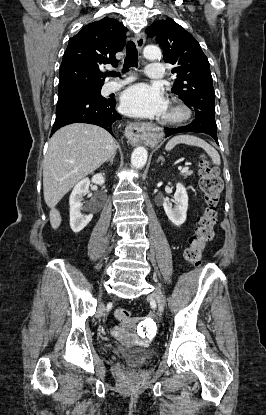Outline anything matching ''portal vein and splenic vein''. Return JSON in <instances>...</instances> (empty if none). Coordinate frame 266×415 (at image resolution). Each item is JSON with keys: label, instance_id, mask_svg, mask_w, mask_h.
Wrapping results in <instances>:
<instances>
[{"label": "portal vein and splenic vein", "instance_id": "portal-vein-and-splenic-vein-1", "mask_svg": "<svg viewBox=\"0 0 266 415\" xmlns=\"http://www.w3.org/2000/svg\"><path fill=\"white\" fill-rule=\"evenodd\" d=\"M188 169H189V167H183L182 169H181V172L183 173V172H186V171H188Z\"/></svg>", "mask_w": 266, "mask_h": 415}]
</instances>
